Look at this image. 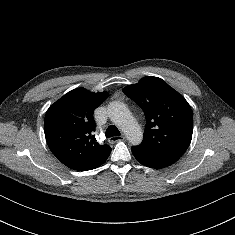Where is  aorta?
Listing matches in <instances>:
<instances>
[{"label": "aorta", "instance_id": "aorta-1", "mask_svg": "<svg viewBox=\"0 0 235 235\" xmlns=\"http://www.w3.org/2000/svg\"><path fill=\"white\" fill-rule=\"evenodd\" d=\"M108 115L110 119L124 132L128 141L132 145H138L141 143L143 132L124 103L118 101L111 102L108 105Z\"/></svg>", "mask_w": 235, "mask_h": 235}]
</instances>
